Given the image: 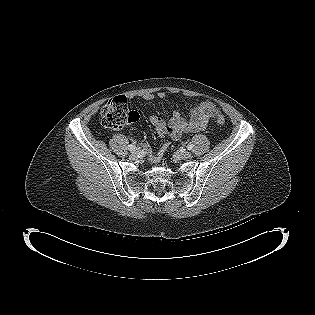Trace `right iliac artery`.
<instances>
[{"label":"right iliac artery","instance_id":"right-iliac-artery-1","mask_svg":"<svg viewBox=\"0 0 315 315\" xmlns=\"http://www.w3.org/2000/svg\"><path fill=\"white\" fill-rule=\"evenodd\" d=\"M136 146L134 144H131L128 146L129 151L135 150Z\"/></svg>","mask_w":315,"mask_h":315}]
</instances>
